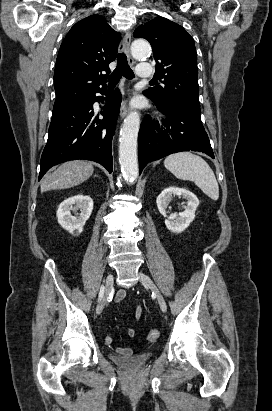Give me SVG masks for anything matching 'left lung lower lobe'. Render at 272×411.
Listing matches in <instances>:
<instances>
[{"label":"left lung lower lobe","mask_w":272,"mask_h":411,"mask_svg":"<svg viewBox=\"0 0 272 411\" xmlns=\"http://www.w3.org/2000/svg\"><path fill=\"white\" fill-rule=\"evenodd\" d=\"M145 94V93H144ZM154 102V101H153ZM167 116L160 126L147 115L138 135L140 174L147 163L181 151H200L214 158L200 114L154 102Z\"/></svg>","instance_id":"left-lung-lower-lobe-1"}]
</instances>
